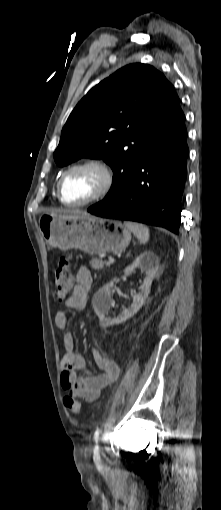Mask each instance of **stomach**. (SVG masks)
<instances>
[{
    "mask_svg": "<svg viewBox=\"0 0 221 510\" xmlns=\"http://www.w3.org/2000/svg\"><path fill=\"white\" fill-rule=\"evenodd\" d=\"M38 224L49 246L90 255L122 251L131 240L130 230L121 222L89 214L45 213Z\"/></svg>",
    "mask_w": 221,
    "mask_h": 510,
    "instance_id": "1",
    "label": "stomach"
}]
</instances>
